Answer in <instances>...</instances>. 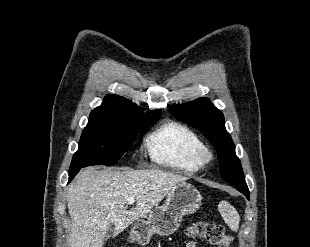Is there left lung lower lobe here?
<instances>
[{"label":"left lung lower lobe","instance_id":"0a47b994","mask_svg":"<svg viewBox=\"0 0 310 247\" xmlns=\"http://www.w3.org/2000/svg\"><path fill=\"white\" fill-rule=\"evenodd\" d=\"M233 185L236 187L237 190L243 193L246 196V198L249 200V190H248V187L245 181L242 183H234Z\"/></svg>","mask_w":310,"mask_h":247}]
</instances>
